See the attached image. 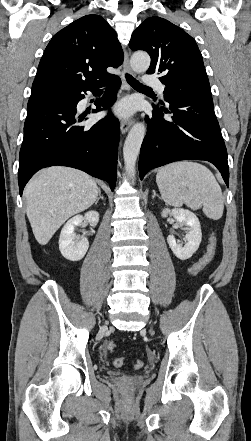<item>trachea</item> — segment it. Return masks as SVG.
Here are the masks:
<instances>
[{
	"mask_svg": "<svg viewBox=\"0 0 251 441\" xmlns=\"http://www.w3.org/2000/svg\"><path fill=\"white\" fill-rule=\"evenodd\" d=\"M126 80L132 87L142 88V89H150L149 87L143 85L130 74H126Z\"/></svg>",
	"mask_w": 251,
	"mask_h": 441,
	"instance_id": "trachea-1",
	"label": "trachea"
}]
</instances>
